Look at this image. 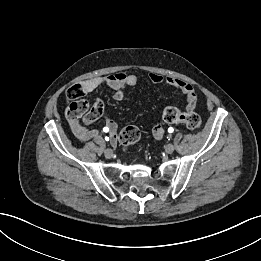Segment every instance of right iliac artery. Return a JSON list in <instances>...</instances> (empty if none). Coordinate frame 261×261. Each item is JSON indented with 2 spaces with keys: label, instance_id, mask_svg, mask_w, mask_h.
<instances>
[{
  "label": "right iliac artery",
  "instance_id": "obj_1",
  "mask_svg": "<svg viewBox=\"0 0 261 261\" xmlns=\"http://www.w3.org/2000/svg\"><path fill=\"white\" fill-rule=\"evenodd\" d=\"M103 131H104V132H107V131H108V128H107V127H104V128H103ZM105 140H106V141H109V137H105Z\"/></svg>",
  "mask_w": 261,
  "mask_h": 261
}]
</instances>
